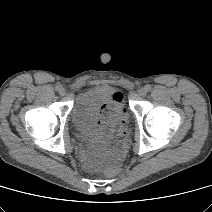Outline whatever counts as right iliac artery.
Returning <instances> with one entry per match:
<instances>
[{
  "label": "right iliac artery",
  "mask_w": 212,
  "mask_h": 212,
  "mask_svg": "<svg viewBox=\"0 0 212 212\" xmlns=\"http://www.w3.org/2000/svg\"><path fill=\"white\" fill-rule=\"evenodd\" d=\"M60 88H61V85L60 84L56 85V90L57 91H59Z\"/></svg>",
  "instance_id": "82829eb1"
}]
</instances>
